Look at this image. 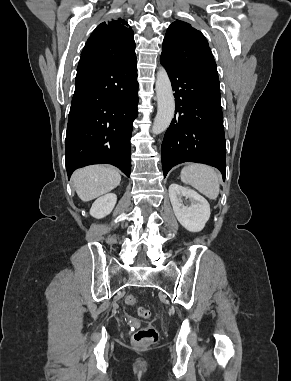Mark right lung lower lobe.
Returning <instances> with one entry per match:
<instances>
[{
	"instance_id": "obj_1",
	"label": "right lung lower lobe",
	"mask_w": 291,
	"mask_h": 381,
	"mask_svg": "<svg viewBox=\"0 0 291 381\" xmlns=\"http://www.w3.org/2000/svg\"><path fill=\"white\" fill-rule=\"evenodd\" d=\"M136 54L114 64L78 65L66 132L68 177L108 163L131 173L130 138L138 115Z\"/></svg>"
}]
</instances>
